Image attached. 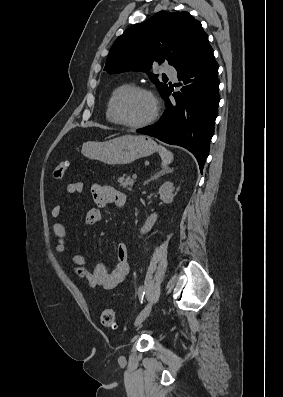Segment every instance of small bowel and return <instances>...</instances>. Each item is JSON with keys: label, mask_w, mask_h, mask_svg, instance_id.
<instances>
[{"label": "small bowel", "mask_w": 283, "mask_h": 397, "mask_svg": "<svg viewBox=\"0 0 283 397\" xmlns=\"http://www.w3.org/2000/svg\"><path fill=\"white\" fill-rule=\"evenodd\" d=\"M84 190L82 182H70L66 186L69 195L81 194ZM91 195L94 205L91 206L85 215V222L89 225H95L101 220V208L114 205L121 208L126 204V196L123 192L100 184H94L91 188ZM54 219L52 230L56 237L55 252L62 253L66 248L67 230L61 222V207L56 204L51 210ZM75 267L72 274L79 278H85L91 288L100 287L105 290L113 289L119 285L129 273L128 251L123 243L116 247V264L112 270L106 265L99 263L93 270L86 267V258L83 255L75 254L72 257Z\"/></svg>", "instance_id": "1"}]
</instances>
